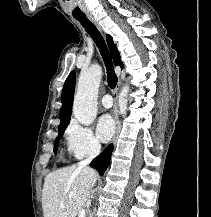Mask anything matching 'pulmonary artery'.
I'll return each instance as SVG.
<instances>
[{
  "label": "pulmonary artery",
  "mask_w": 211,
  "mask_h": 217,
  "mask_svg": "<svg viewBox=\"0 0 211 217\" xmlns=\"http://www.w3.org/2000/svg\"><path fill=\"white\" fill-rule=\"evenodd\" d=\"M101 104L104 108L109 109L113 105L112 97L109 94L104 95L101 98Z\"/></svg>",
  "instance_id": "1"
}]
</instances>
